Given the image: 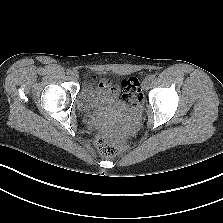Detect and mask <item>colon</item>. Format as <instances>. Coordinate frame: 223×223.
I'll return each mask as SVG.
<instances>
[{
  "label": "colon",
  "mask_w": 223,
  "mask_h": 223,
  "mask_svg": "<svg viewBox=\"0 0 223 223\" xmlns=\"http://www.w3.org/2000/svg\"><path fill=\"white\" fill-rule=\"evenodd\" d=\"M123 86V99L134 106L140 104L142 93L138 79L130 77L124 82ZM99 149L105 156H113L117 151L115 144L106 138L99 141Z\"/></svg>",
  "instance_id": "1"
}]
</instances>
